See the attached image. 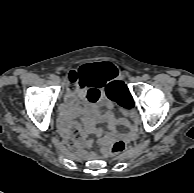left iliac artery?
Returning a JSON list of instances; mask_svg holds the SVG:
<instances>
[{"label":"left iliac artery","mask_w":194,"mask_h":193,"mask_svg":"<svg viewBox=\"0 0 194 193\" xmlns=\"http://www.w3.org/2000/svg\"><path fill=\"white\" fill-rule=\"evenodd\" d=\"M143 78H144V80H148L150 78V76L148 74H144Z\"/></svg>","instance_id":"1"}]
</instances>
